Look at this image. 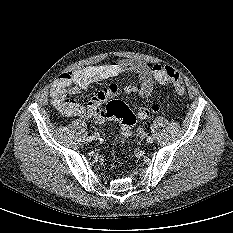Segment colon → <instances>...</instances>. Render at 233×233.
I'll use <instances>...</instances> for the list:
<instances>
[{
	"label": "colon",
	"mask_w": 233,
	"mask_h": 233,
	"mask_svg": "<svg viewBox=\"0 0 233 233\" xmlns=\"http://www.w3.org/2000/svg\"><path fill=\"white\" fill-rule=\"evenodd\" d=\"M154 79L159 85L172 84L175 91L178 94L185 92V84L182 77L177 71L170 66L155 65L153 67ZM160 109L159 104H153L150 108H139L138 115L140 117H146L150 112L158 111ZM92 115L94 118H115L119 120L121 126V134L124 140L128 139L131 135V129L136 122V116L134 112L120 100L110 101L106 108L100 109L95 107L92 109Z\"/></svg>",
	"instance_id": "colon-1"
}]
</instances>
